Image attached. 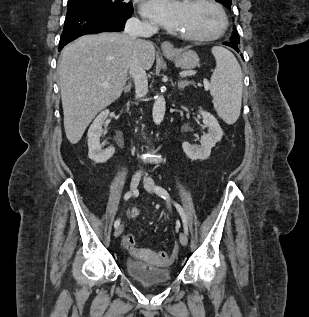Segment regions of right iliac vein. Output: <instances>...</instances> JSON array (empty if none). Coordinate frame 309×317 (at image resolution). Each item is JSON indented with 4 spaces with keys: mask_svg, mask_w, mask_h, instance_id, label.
<instances>
[{
    "mask_svg": "<svg viewBox=\"0 0 309 317\" xmlns=\"http://www.w3.org/2000/svg\"><path fill=\"white\" fill-rule=\"evenodd\" d=\"M141 173L140 172H136L132 179H131V191L134 193L139 185V182L141 180ZM124 226L123 224L119 225L116 230L114 231V236L115 237H119L122 232H123Z\"/></svg>",
    "mask_w": 309,
    "mask_h": 317,
    "instance_id": "right-iliac-vein-1",
    "label": "right iliac vein"
}]
</instances>
